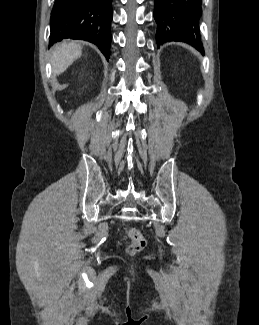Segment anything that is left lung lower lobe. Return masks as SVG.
<instances>
[{"mask_svg": "<svg viewBox=\"0 0 259 325\" xmlns=\"http://www.w3.org/2000/svg\"><path fill=\"white\" fill-rule=\"evenodd\" d=\"M202 0H155L158 47L166 42H185L204 52L199 21Z\"/></svg>", "mask_w": 259, "mask_h": 325, "instance_id": "left-lung-lower-lobe-1", "label": "left lung lower lobe"}]
</instances>
